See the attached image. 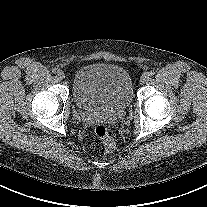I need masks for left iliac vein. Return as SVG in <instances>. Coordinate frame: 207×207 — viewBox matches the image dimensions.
I'll use <instances>...</instances> for the list:
<instances>
[{"label":"left iliac vein","mask_w":207,"mask_h":207,"mask_svg":"<svg viewBox=\"0 0 207 207\" xmlns=\"http://www.w3.org/2000/svg\"><path fill=\"white\" fill-rule=\"evenodd\" d=\"M148 78H149V75L145 73L141 76L140 81L144 83L148 80Z\"/></svg>","instance_id":"obj_1"}]
</instances>
